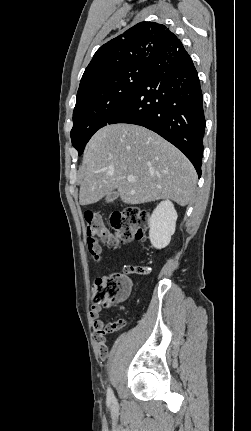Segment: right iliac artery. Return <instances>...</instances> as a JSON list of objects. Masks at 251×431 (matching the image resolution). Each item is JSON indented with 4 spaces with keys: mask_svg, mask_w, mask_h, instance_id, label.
Segmentation results:
<instances>
[{
    "mask_svg": "<svg viewBox=\"0 0 251 431\" xmlns=\"http://www.w3.org/2000/svg\"><path fill=\"white\" fill-rule=\"evenodd\" d=\"M107 399H108V401L114 400V394H113V391L110 387H108V389H107Z\"/></svg>",
    "mask_w": 251,
    "mask_h": 431,
    "instance_id": "1",
    "label": "right iliac artery"
}]
</instances>
